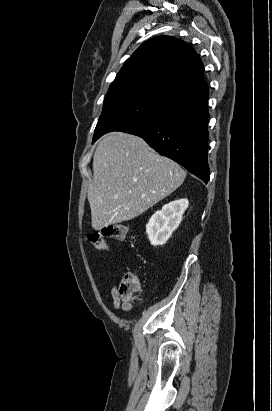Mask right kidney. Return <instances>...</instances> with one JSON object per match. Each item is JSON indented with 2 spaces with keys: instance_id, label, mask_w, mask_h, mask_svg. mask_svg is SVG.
<instances>
[{
  "instance_id": "ca27d5eb",
  "label": "right kidney",
  "mask_w": 272,
  "mask_h": 411,
  "mask_svg": "<svg viewBox=\"0 0 272 411\" xmlns=\"http://www.w3.org/2000/svg\"><path fill=\"white\" fill-rule=\"evenodd\" d=\"M188 205V199L174 200L152 215L146 225V233L153 246H161L168 241L182 221Z\"/></svg>"
}]
</instances>
